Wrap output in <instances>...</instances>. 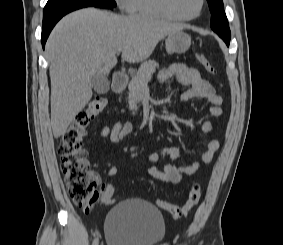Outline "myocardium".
Masks as SVG:
<instances>
[{
    "mask_svg": "<svg viewBox=\"0 0 283 245\" xmlns=\"http://www.w3.org/2000/svg\"><path fill=\"white\" fill-rule=\"evenodd\" d=\"M199 8L197 12L194 15L191 16H181L176 13L173 7V2L172 0H160V6L162 10L169 15L172 19L174 20H179V21H192L196 19L200 14L202 13L204 6H205V0H199Z\"/></svg>",
    "mask_w": 283,
    "mask_h": 245,
    "instance_id": "f54148a6",
    "label": "myocardium"
}]
</instances>
